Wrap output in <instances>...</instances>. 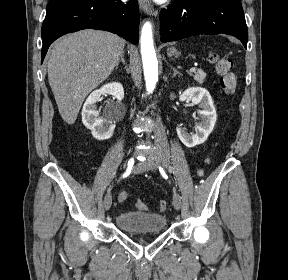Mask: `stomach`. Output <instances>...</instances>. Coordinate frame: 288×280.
<instances>
[{
    "mask_svg": "<svg viewBox=\"0 0 288 280\" xmlns=\"http://www.w3.org/2000/svg\"><path fill=\"white\" fill-rule=\"evenodd\" d=\"M168 53H169V55H171V56H178L180 53L176 50V49H174V48H170L169 50H168Z\"/></svg>",
    "mask_w": 288,
    "mask_h": 280,
    "instance_id": "obj_1",
    "label": "stomach"
}]
</instances>
